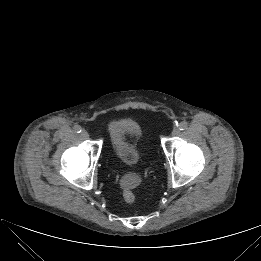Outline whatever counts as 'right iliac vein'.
Wrapping results in <instances>:
<instances>
[{
    "label": "right iliac vein",
    "mask_w": 261,
    "mask_h": 261,
    "mask_svg": "<svg viewBox=\"0 0 261 261\" xmlns=\"http://www.w3.org/2000/svg\"><path fill=\"white\" fill-rule=\"evenodd\" d=\"M81 135H82V137H84V138H88V137H89V134H88V132H87L86 130H83V131L81 132Z\"/></svg>",
    "instance_id": "right-iliac-vein-1"
}]
</instances>
